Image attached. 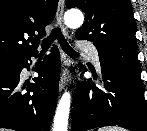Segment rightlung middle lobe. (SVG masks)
Wrapping results in <instances>:
<instances>
[{"label":"right lung middle lobe","instance_id":"1","mask_svg":"<svg viewBox=\"0 0 147 131\" xmlns=\"http://www.w3.org/2000/svg\"><path fill=\"white\" fill-rule=\"evenodd\" d=\"M16 60H0V68L14 65Z\"/></svg>","mask_w":147,"mask_h":131}]
</instances>
